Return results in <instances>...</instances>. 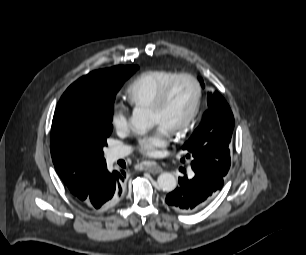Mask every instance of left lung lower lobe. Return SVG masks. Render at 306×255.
Wrapping results in <instances>:
<instances>
[{
    "label": "left lung lower lobe",
    "instance_id": "obj_1",
    "mask_svg": "<svg viewBox=\"0 0 306 255\" xmlns=\"http://www.w3.org/2000/svg\"><path fill=\"white\" fill-rule=\"evenodd\" d=\"M191 167V177H180L176 189L166 196L170 208L180 213H193L205 207L224 183V177L207 166ZM180 171L186 172L184 168H180Z\"/></svg>",
    "mask_w": 306,
    "mask_h": 255
}]
</instances>
